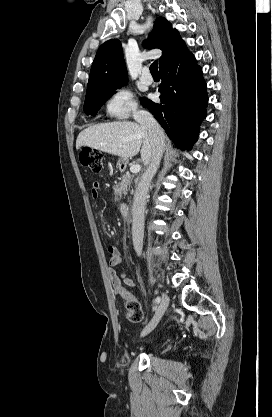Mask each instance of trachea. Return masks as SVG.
Instances as JSON below:
<instances>
[{"mask_svg": "<svg viewBox=\"0 0 272 417\" xmlns=\"http://www.w3.org/2000/svg\"><path fill=\"white\" fill-rule=\"evenodd\" d=\"M150 72L152 75H158L159 71H158V62L154 61L151 66H150Z\"/></svg>", "mask_w": 272, "mask_h": 417, "instance_id": "obj_1", "label": "trachea"}]
</instances>
